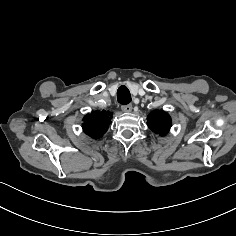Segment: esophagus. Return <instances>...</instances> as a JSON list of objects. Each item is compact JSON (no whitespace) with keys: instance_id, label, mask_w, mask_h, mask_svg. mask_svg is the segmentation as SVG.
<instances>
[{"instance_id":"esophagus-1","label":"esophagus","mask_w":236,"mask_h":236,"mask_svg":"<svg viewBox=\"0 0 236 236\" xmlns=\"http://www.w3.org/2000/svg\"><path fill=\"white\" fill-rule=\"evenodd\" d=\"M121 109H122L123 112H131L132 111V105L131 104L122 105Z\"/></svg>"}]
</instances>
